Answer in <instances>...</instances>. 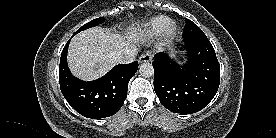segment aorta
<instances>
[{
	"mask_svg": "<svg viewBox=\"0 0 276 138\" xmlns=\"http://www.w3.org/2000/svg\"><path fill=\"white\" fill-rule=\"evenodd\" d=\"M139 73L144 78H149L154 74V68L151 63H142L139 67Z\"/></svg>",
	"mask_w": 276,
	"mask_h": 138,
	"instance_id": "aorta-1",
	"label": "aorta"
}]
</instances>
